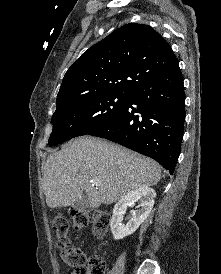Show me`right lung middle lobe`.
Returning <instances> with one entry per match:
<instances>
[{"instance_id":"right-lung-middle-lobe-1","label":"right lung middle lobe","mask_w":221,"mask_h":274,"mask_svg":"<svg viewBox=\"0 0 221 274\" xmlns=\"http://www.w3.org/2000/svg\"><path fill=\"white\" fill-rule=\"evenodd\" d=\"M129 94H104L57 103L49 146L90 134L108 123L126 104Z\"/></svg>"}]
</instances>
